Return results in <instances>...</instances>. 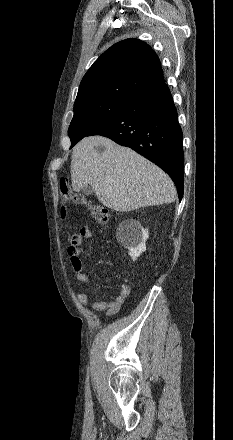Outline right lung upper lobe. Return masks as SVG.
<instances>
[{"label": "right lung upper lobe", "mask_w": 233, "mask_h": 440, "mask_svg": "<svg viewBox=\"0 0 233 440\" xmlns=\"http://www.w3.org/2000/svg\"><path fill=\"white\" fill-rule=\"evenodd\" d=\"M164 83L160 61L149 45L138 39L114 44L89 68L75 102L88 99L129 101Z\"/></svg>", "instance_id": "right-lung-upper-lobe-1"}]
</instances>
